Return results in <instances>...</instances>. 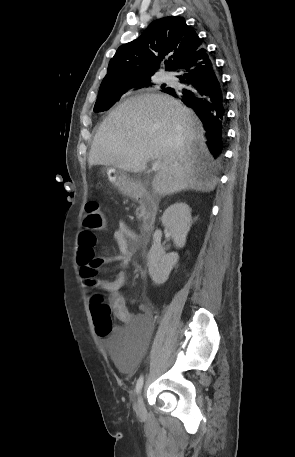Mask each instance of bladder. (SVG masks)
I'll list each match as a JSON object with an SVG mask.
<instances>
[{
    "label": "bladder",
    "instance_id": "obj_1",
    "mask_svg": "<svg viewBox=\"0 0 295 457\" xmlns=\"http://www.w3.org/2000/svg\"><path fill=\"white\" fill-rule=\"evenodd\" d=\"M106 347H111V356L121 371H130L136 365H142V356L149 346L148 338H106Z\"/></svg>",
    "mask_w": 295,
    "mask_h": 457
}]
</instances>
